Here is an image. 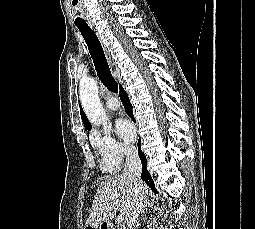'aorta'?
<instances>
[{"instance_id": "762f6f07", "label": "aorta", "mask_w": 255, "mask_h": 229, "mask_svg": "<svg viewBox=\"0 0 255 229\" xmlns=\"http://www.w3.org/2000/svg\"><path fill=\"white\" fill-rule=\"evenodd\" d=\"M80 99L85 114L92 124L98 126L106 121L107 116L100 102L94 79L88 78L80 82Z\"/></svg>"}]
</instances>
